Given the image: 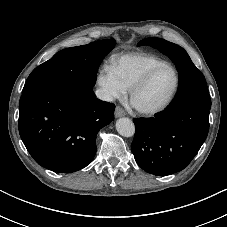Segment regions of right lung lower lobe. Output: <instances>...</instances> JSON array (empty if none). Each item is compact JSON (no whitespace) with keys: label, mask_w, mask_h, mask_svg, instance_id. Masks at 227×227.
I'll return each mask as SVG.
<instances>
[{"label":"right lung lower lobe","mask_w":227,"mask_h":227,"mask_svg":"<svg viewBox=\"0 0 227 227\" xmlns=\"http://www.w3.org/2000/svg\"><path fill=\"white\" fill-rule=\"evenodd\" d=\"M114 110V104L96 98L93 87L44 86L22 94L19 133L40 166L72 173L93 160L96 135L114 120Z\"/></svg>","instance_id":"1"}]
</instances>
